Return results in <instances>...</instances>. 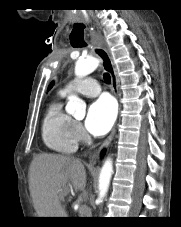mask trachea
Returning <instances> with one entry per match:
<instances>
[{
  "mask_svg": "<svg viewBox=\"0 0 181 227\" xmlns=\"http://www.w3.org/2000/svg\"><path fill=\"white\" fill-rule=\"evenodd\" d=\"M103 78H104V81H105L107 84H109V83L111 82V77H110V75H109L108 73H105V74L103 75Z\"/></svg>",
  "mask_w": 181,
  "mask_h": 227,
  "instance_id": "1",
  "label": "trachea"
}]
</instances>
